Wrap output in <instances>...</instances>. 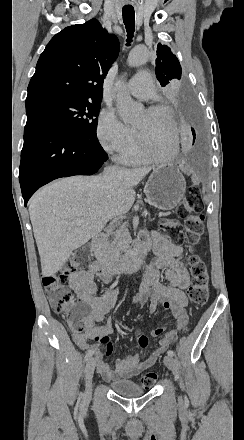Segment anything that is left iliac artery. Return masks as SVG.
I'll return each mask as SVG.
<instances>
[{
  "label": "left iliac artery",
  "instance_id": "obj_1",
  "mask_svg": "<svg viewBox=\"0 0 244 440\" xmlns=\"http://www.w3.org/2000/svg\"><path fill=\"white\" fill-rule=\"evenodd\" d=\"M167 354L172 357L174 356V352L172 350H168Z\"/></svg>",
  "mask_w": 244,
  "mask_h": 440
}]
</instances>
